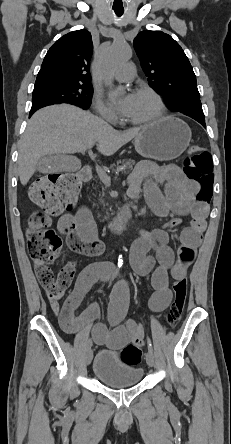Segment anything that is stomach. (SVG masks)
Here are the masks:
<instances>
[{
  "mask_svg": "<svg viewBox=\"0 0 231 444\" xmlns=\"http://www.w3.org/2000/svg\"><path fill=\"white\" fill-rule=\"evenodd\" d=\"M189 126L179 118L167 116L147 125L135 138L138 154L145 158L168 161L180 156L191 140Z\"/></svg>",
  "mask_w": 231,
  "mask_h": 444,
  "instance_id": "stomach-1",
  "label": "stomach"
}]
</instances>
